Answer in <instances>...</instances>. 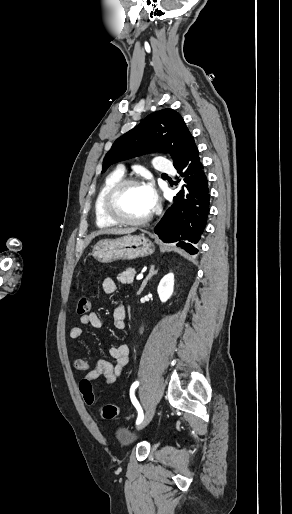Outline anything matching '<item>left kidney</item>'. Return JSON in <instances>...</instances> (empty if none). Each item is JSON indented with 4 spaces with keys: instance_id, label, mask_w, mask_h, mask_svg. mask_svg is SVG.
<instances>
[{
    "instance_id": "1",
    "label": "left kidney",
    "mask_w": 292,
    "mask_h": 514,
    "mask_svg": "<svg viewBox=\"0 0 292 514\" xmlns=\"http://www.w3.org/2000/svg\"><path fill=\"white\" fill-rule=\"evenodd\" d=\"M174 288V274H167L162 278L159 286H158V294L161 302H167L169 298H171L173 294Z\"/></svg>"
}]
</instances>
